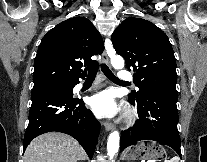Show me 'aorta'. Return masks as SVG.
Wrapping results in <instances>:
<instances>
[{"mask_svg":"<svg viewBox=\"0 0 207 162\" xmlns=\"http://www.w3.org/2000/svg\"><path fill=\"white\" fill-rule=\"evenodd\" d=\"M111 64L115 69H122L124 67V60L121 56L115 55L111 57ZM120 136L118 131H113L107 142V154L110 159H113L119 149Z\"/></svg>","mask_w":207,"mask_h":162,"instance_id":"1","label":"aorta"}]
</instances>
